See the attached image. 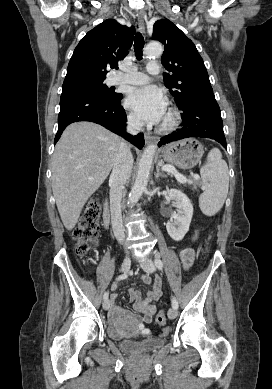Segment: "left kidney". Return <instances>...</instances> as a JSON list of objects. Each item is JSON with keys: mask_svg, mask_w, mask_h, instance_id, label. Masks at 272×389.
<instances>
[{"mask_svg": "<svg viewBox=\"0 0 272 389\" xmlns=\"http://www.w3.org/2000/svg\"><path fill=\"white\" fill-rule=\"evenodd\" d=\"M169 197L174 201L177 212H173L172 219L166 224V229L172 239L180 241L189 230L193 205L187 195L178 189H170Z\"/></svg>", "mask_w": 272, "mask_h": 389, "instance_id": "obj_1", "label": "left kidney"}]
</instances>
